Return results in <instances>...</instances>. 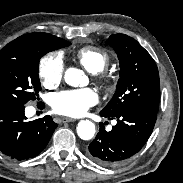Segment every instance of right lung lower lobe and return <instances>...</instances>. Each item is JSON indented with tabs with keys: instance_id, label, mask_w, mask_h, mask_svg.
<instances>
[{
	"instance_id": "1",
	"label": "right lung lower lobe",
	"mask_w": 183,
	"mask_h": 183,
	"mask_svg": "<svg viewBox=\"0 0 183 183\" xmlns=\"http://www.w3.org/2000/svg\"><path fill=\"white\" fill-rule=\"evenodd\" d=\"M24 109L21 103L0 105V151L16 160L41 153L57 127L50 116L27 121Z\"/></svg>"
}]
</instances>
